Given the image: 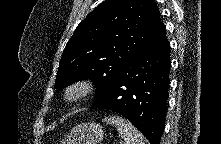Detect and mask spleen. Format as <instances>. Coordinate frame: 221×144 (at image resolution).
<instances>
[{"instance_id": "1", "label": "spleen", "mask_w": 221, "mask_h": 144, "mask_svg": "<svg viewBox=\"0 0 221 144\" xmlns=\"http://www.w3.org/2000/svg\"><path fill=\"white\" fill-rule=\"evenodd\" d=\"M104 122L117 128L120 136L124 139V144H144L143 135L125 118L113 115L104 118Z\"/></svg>"}]
</instances>
